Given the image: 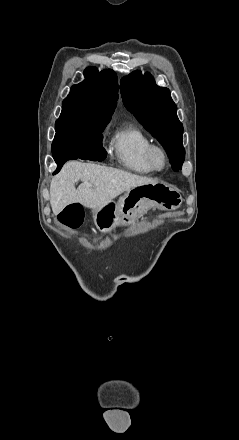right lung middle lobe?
<instances>
[{
    "label": "right lung middle lobe",
    "mask_w": 239,
    "mask_h": 440,
    "mask_svg": "<svg viewBox=\"0 0 239 440\" xmlns=\"http://www.w3.org/2000/svg\"><path fill=\"white\" fill-rule=\"evenodd\" d=\"M110 118L101 116H79L61 112L55 123L56 134L52 153L56 154L83 145H102V134Z\"/></svg>",
    "instance_id": "1"
}]
</instances>
